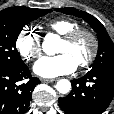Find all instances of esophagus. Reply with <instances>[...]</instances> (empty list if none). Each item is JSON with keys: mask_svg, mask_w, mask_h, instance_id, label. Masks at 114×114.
I'll return each instance as SVG.
<instances>
[{"mask_svg": "<svg viewBox=\"0 0 114 114\" xmlns=\"http://www.w3.org/2000/svg\"><path fill=\"white\" fill-rule=\"evenodd\" d=\"M54 81H55V79H47V78H42L41 79V82H43V83H52Z\"/></svg>", "mask_w": 114, "mask_h": 114, "instance_id": "esophagus-1", "label": "esophagus"}]
</instances>
